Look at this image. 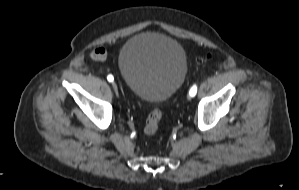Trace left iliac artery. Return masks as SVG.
<instances>
[{"label": "left iliac artery", "instance_id": "1", "mask_svg": "<svg viewBox=\"0 0 299 190\" xmlns=\"http://www.w3.org/2000/svg\"><path fill=\"white\" fill-rule=\"evenodd\" d=\"M196 93H197V86H196V85H193L192 88H191L190 91H189V95H190L191 97H194V96L196 95Z\"/></svg>", "mask_w": 299, "mask_h": 190}]
</instances>
